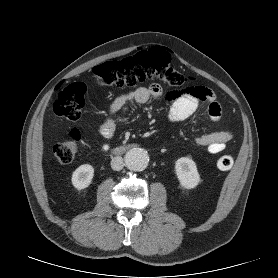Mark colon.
Returning a JSON list of instances; mask_svg holds the SVG:
<instances>
[{
  "instance_id": "1",
  "label": "colon",
  "mask_w": 278,
  "mask_h": 278,
  "mask_svg": "<svg viewBox=\"0 0 278 278\" xmlns=\"http://www.w3.org/2000/svg\"><path fill=\"white\" fill-rule=\"evenodd\" d=\"M170 62V55L165 49L153 47L121 60L100 64L93 69V74L99 87H133L149 80H159L170 86L184 85L185 76L172 67ZM88 90L89 87L83 82L61 88L53 104L54 113L69 121L79 120ZM185 91L195 94L199 92L196 86L187 87ZM80 139L79 131L73 130L71 138L56 144L51 154L60 163H70L77 155ZM232 165L233 158L229 154H223L217 159V166L221 170H228Z\"/></svg>"
}]
</instances>
